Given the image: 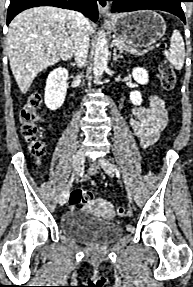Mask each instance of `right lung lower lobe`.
I'll return each instance as SVG.
<instances>
[{"mask_svg": "<svg viewBox=\"0 0 193 287\" xmlns=\"http://www.w3.org/2000/svg\"><path fill=\"white\" fill-rule=\"evenodd\" d=\"M97 0H10L7 25L23 10L37 6H55L82 12L92 21L98 19Z\"/></svg>", "mask_w": 193, "mask_h": 287, "instance_id": "98d812e1", "label": "right lung lower lobe"}]
</instances>
